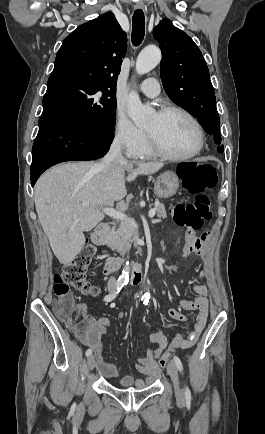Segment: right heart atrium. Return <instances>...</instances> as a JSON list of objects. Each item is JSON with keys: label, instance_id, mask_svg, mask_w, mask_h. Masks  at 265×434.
I'll return each instance as SVG.
<instances>
[{"label": "right heart atrium", "instance_id": "obj_1", "mask_svg": "<svg viewBox=\"0 0 265 434\" xmlns=\"http://www.w3.org/2000/svg\"><path fill=\"white\" fill-rule=\"evenodd\" d=\"M115 122L111 128L116 132L112 140L113 148H121V157L123 159H131L133 154H139L145 149L147 138L142 125H135L127 115L128 108L126 101H117L115 108ZM136 141V145L134 144Z\"/></svg>", "mask_w": 265, "mask_h": 434}]
</instances>
